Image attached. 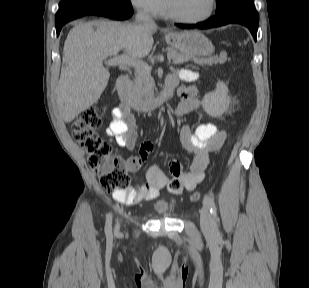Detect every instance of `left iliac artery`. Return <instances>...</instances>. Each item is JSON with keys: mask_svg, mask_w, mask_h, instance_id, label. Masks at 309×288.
I'll list each match as a JSON object with an SVG mask.
<instances>
[{"mask_svg": "<svg viewBox=\"0 0 309 288\" xmlns=\"http://www.w3.org/2000/svg\"><path fill=\"white\" fill-rule=\"evenodd\" d=\"M203 202H204V204H206L209 207L210 212L213 216L214 227H215V229H217V209H216V205H215L214 200L209 196H205L204 199H203Z\"/></svg>", "mask_w": 309, "mask_h": 288, "instance_id": "obj_1", "label": "left iliac artery"}]
</instances>
